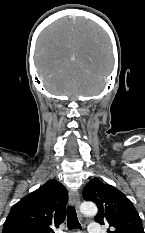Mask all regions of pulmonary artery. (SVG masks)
Returning <instances> with one entry per match:
<instances>
[{"label":"pulmonary artery","mask_w":145,"mask_h":233,"mask_svg":"<svg viewBox=\"0 0 145 233\" xmlns=\"http://www.w3.org/2000/svg\"><path fill=\"white\" fill-rule=\"evenodd\" d=\"M102 228L98 223H91L88 226V233H102Z\"/></svg>","instance_id":"pulmonary-artery-1"}]
</instances>
